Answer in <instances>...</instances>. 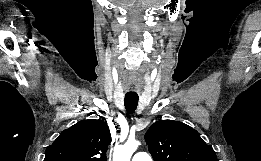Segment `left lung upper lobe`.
I'll return each mask as SVG.
<instances>
[{"label": "left lung upper lobe", "mask_w": 261, "mask_h": 161, "mask_svg": "<svg viewBox=\"0 0 261 161\" xmlns=\"http://www.w3.org/2000/svg\"><path fill=\"white\" fill-rule=\"evenodd\" d=\"M145 140L154 161H217L212 145L182 122L157 121L146 132Z\"/></svg>", "instance_id": "5c2ea615"}]
</instances>
